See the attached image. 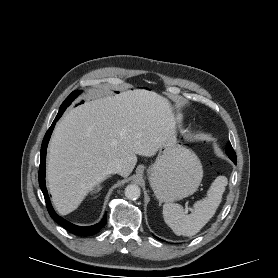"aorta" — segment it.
<instances>
[{
  "mask_svg": "<svg viewBox=\"0 0 278 278\" xmlns=\"http://www.w3.org/2000/svg\"><path fill=\"white\" fill-rule=\"evenodd\" d=\"M141 190L138 185L131 184L125 188V196L130 200H136L140 197Z\"/></svg>",
  "mask_w": 278,
  "mask_h": 278,
  "instance_id": "1",
  "label": "aorta"
}]
</instances>
